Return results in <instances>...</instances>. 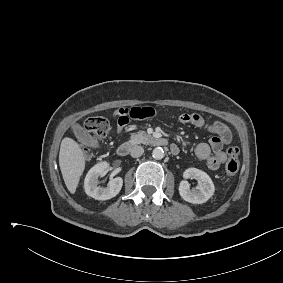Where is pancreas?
<instances>
[{
	"label": "pancreas",
	"instance_id": "1",
	"mask_svg": "<svg viewBox=\"0 0 283 283\" xmlns=\"http://www.w3.org/2000/svg\"><path fill=\"white\" fill-rule=\"evenodd\" d=\"M150 136L143 131L132 133L130 136V144H146L150 140Z\"/></svg>",
	"mask_w": 283,
	"mask_h": 283
}]
</instances>
